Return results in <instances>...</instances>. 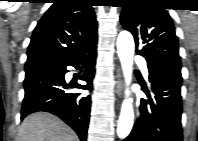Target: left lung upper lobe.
Wrapping results in <instances>:
<instances>
[{
    "mask_svg": "<svg viewBox=\"0 0 198 141\" xmlns=\"http://www.w3.org/2000/svg\"><path fill=\"white\" fill-rule=\"evenodd\" d=\"M123 8L121 24L134 36L137 54L146 59L148 67L181 71L175 28L161 1L129 0Z\"/></svg>",
    "mask_w": 198,
    "mask_h": 141,
    "instance_id": "5c2ea615",
    "label": "left lung upper lobe"
}]
</instances>
